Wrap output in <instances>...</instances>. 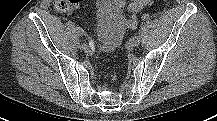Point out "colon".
<instances>
[{
  "label": "colon",
  "instance_id": "5ec220e1",
  "mask_svg": "<svg viewBox=\"0 0 217 121\" xmlns=\"http://www.w3.org/2000/svg\"><path fill=\"white\" fill-rule=\"evenodd\" d=\"M83 0H53L55 10L63 13H69L77 9Z\"/></svg>",
  "mask_w": 217,
  "mask_h": 121
}]
</instances>
